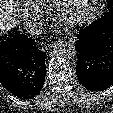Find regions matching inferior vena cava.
<instances>
[{"label":"inferior vena cava","mask_w":113,"mask_h":113,"mask_svg":"<svg viewBox=\"0 0 113 113\" xmlns=\"http://www.w3.org/2000/svg\"><path fill=\"white\" fill-rule=\"evenodd\" d=\"M27 27H28V32L32 36H37L43 32V25L39 21L31 23Z\"/></svg>","instance_id":"inferior-vena-cava-1"}]
</instances>
